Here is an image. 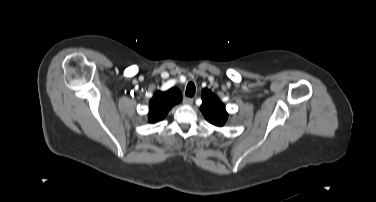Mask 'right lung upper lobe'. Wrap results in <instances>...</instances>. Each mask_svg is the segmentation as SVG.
Segmentation results:
<instances>
[{"label":"right lung upper lobe","instance_id":"obj_1","mask_svg":"<svg viewBox=\"0 0 376 202\" xmlns=\"http://www.w3.org/2000/svg\"><path fill=\"white\" fill-rule=\"evenodd\" d=\"M181 100L182 94L177 88H171L166 92L157 91L149 102V122L163 120L169 110Z\"/></svg>","mask_w":376,"mask_h":202}]
</instances>
